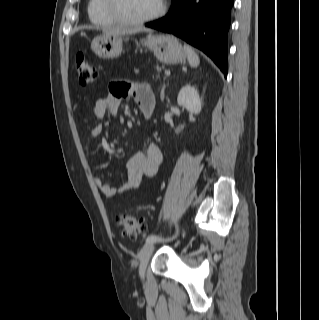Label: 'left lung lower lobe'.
<instances>
[{"instance_id": "1", "label": "left lung lower lobe", "mask_w": 319, "mask_h": 320, "mask_svg": "<svg viewBox=\"0 0 319 320\" xmlns=\"http://www.w3.org/2000/svg\"><path fill=\"white\" fill-rule=\"evenodd\" d=\"M233 0H172L169 13L145 26L174 34L206 53L227 75Z\"/></svg>"}]
</instances>
